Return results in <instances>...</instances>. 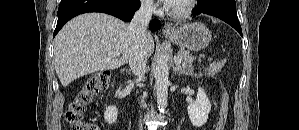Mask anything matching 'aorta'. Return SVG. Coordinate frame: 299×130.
Listing matches in <instances>:
<instances>
[{
    "mask_svg": "<svg viewBox=\"0 0 299 130\" xmlns=\"http://www.w3.org/2000/svg\"><path fill=\"white\" fill-rule=\"evenodd\" d=\"M155 87L157 95V104L160 111L167 107L168 84H169V65L168 57L160 55L155 65Z\"/></svg>",
    "mask_w": 299,
    "mask_h": 130,
    "instance_id": "1",
    "label": "aorta"
}]
</instances>
